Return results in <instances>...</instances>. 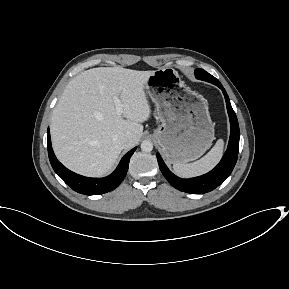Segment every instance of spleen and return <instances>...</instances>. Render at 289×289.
<instances>
[{"label":"spleen","instance_id":"obj_1","mask_svg":"<svg viewBox=\"0 0 289 289\" xmlns=\"http://www.w3.org/2000/svg\"><path fill=\"white\" fill-rule=\"evenodd\" d=\"M223 146L224 141L219 139L204 157L193 163H176L173 165V170L183 178L202 175L210 171L219 162L223 154Z\"/></svg>","mask_w":289,"mask_h":289}]
</instances>
